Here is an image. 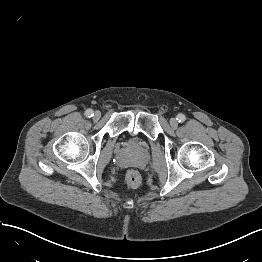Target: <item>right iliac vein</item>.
<instances>
[{
	"mask_svg": "<svg viewBox=\"0 0 262 262\" xmlns=\"http://www.w3.org/2000/svg\"><path fill=\"white\" fill-rule=\"evenodd\" d=\"M100 117H101V113H100L99 111H96V112L94 113L93 119L97 121V120L100 119Z\"/></svg>",
	"mask_w": 262,
	"mask_h": 262,
	"instance_id": "obj_1",
	"label": "right iliac vein"
}]
</instances>
